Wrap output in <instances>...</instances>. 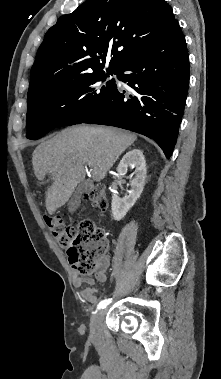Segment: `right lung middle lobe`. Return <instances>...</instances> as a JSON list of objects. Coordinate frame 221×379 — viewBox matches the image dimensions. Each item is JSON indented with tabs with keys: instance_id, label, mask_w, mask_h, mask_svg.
I'll return each instance as SVG.
<instances>
[{
	"instance_id": "right-lung-middle-lobe-1",
	"label": "right lung middle lobe",
	"mask_w": 221,
	"mask_h": 379,
	"mask_svg": "<svg viewBox=\"0 0 221 379\" xmlns=\"http://www.w3.org/2000/svg\"><path fill=\"white\" fill-rule=\"evenodd\" d=\"M112 74H116V69L107 74L98 71L81 75L47 87L28 101L26 137L39 139L56 127L68 126L75 118L89 115L111 93L114 79L104 81Z\"/></svg>"
}]
</instances>
